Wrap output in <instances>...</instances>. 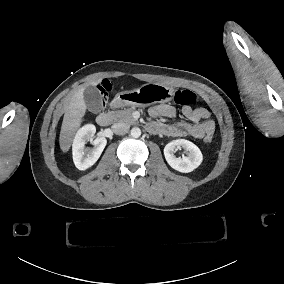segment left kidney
Returning <instances> with one entry per match:
<instances>
[{"mask_svg": "<svg viewBox=\"0 0 284 284\" xmlns=\"http://www.w3.org/2000/svg\"><path fill=\"white\" fill-rule=\"evenodd\" d=\"M176 147H182L187 156L176 157L174 155ZM165 159L175 170L182 173H189L196 169L203 160L200 149L192 142L185 139H177L168 143L164 148Z\"/></svg>", "mask_w": 284, "mask_h": 284, "instance_id": "obj_1", "label": "left kidney"}]
</instances>
